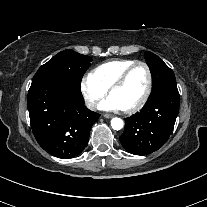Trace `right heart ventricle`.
<instances>
[{"label": "right heart ventricle", "instance_id": "e07e8e85", "mask_svg": "<svg viewBox=\"0 0 207 207\" xmlns=\"http://www.w3.org/2000/svg\"><path fill=\"white\" fill-rule=\"evenodd\" d=\"M134 62L128 59L108 60L95 67L90 76L104 89L109 90L114 81Z\"/></svg>", "mask_w": 207, "mask_h": 207}]
</instances>
